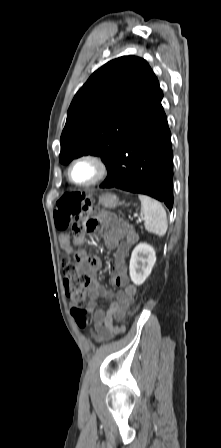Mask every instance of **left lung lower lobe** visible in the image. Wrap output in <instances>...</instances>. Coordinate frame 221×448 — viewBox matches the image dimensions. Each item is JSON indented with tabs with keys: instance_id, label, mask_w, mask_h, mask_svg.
Masks as SVG:
<instances>
[{
	"instance_id": "obj_1",
	"label": "left lung lower lobe",
	"mask_w": 221,
	"mask_h": 448,
	"mask_svg": "<svg viewBox=\"0 0 221 448\" xmlns=\"http://www.w3.org/2000/svg\"><path fill=\"white\" fill-rule=\"evenodd\" d=\"M156 100L117 147L102 188L149 195L173 206V152L167 117Z\"/></svg>"
}]
</instances>
